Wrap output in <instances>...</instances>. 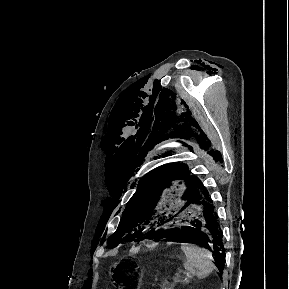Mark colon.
Masks as SVG:
<instances>
[{"label":"colon","instance_id":"5ec220e1","mask_svg":"<svg viewBox=\"0 0 289 289\" xmlns=\"http://www.w3.org/2000/svg\"><path fill=\"white\" fill-rule=\"evenodd\" d=\"M117 289H139L141 271L134 263H128L112 270Z\"/></svg>","mask_w":289,"mask_h":289}]
</instances>
